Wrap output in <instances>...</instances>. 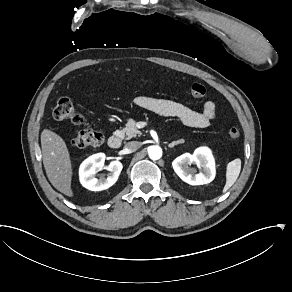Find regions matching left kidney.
Instances as JSON below:
<instances>
[{"mask_svg": "<svg viewBox=\"0 0 292 292\" xmlns=\"http://www.w3.org/2000/svg\"><path fill=\"white\" fill-rule=\"evenodd\" d=\"M193 163L201 167L203 172L195 174L194 170L189 167ZM172 166L176 174L190 185L208 184L214 180L216 175L212 151L205 146L197 148L193 154L185 153L177 157L172 162Z\"/></svg>", "mask_w": 292, "mask_h": 292, "instance_id": "left-kidney-1", "label": "left kidney"}]
</instances>
